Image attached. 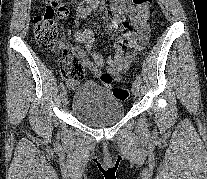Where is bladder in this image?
I'll return each instance as SVG.
<instances>
[{
    "mask_svg": "<svg viewBox=\"0 0 207 179\" xmlns=\"http://www.w3.org/2000/svg\"><path fill=\"white\" fill-rule=\"evenodd\" d=\"M72 113L81 122L95 127L110 125L125 113L123 100L102 85L87 81L74 93Z\"/></svg>",
    "mask_w": 207,
    "mask_h": 179,
    "instance_id": "1",
    "label": "bladder"
}]
</instances>
